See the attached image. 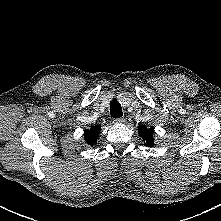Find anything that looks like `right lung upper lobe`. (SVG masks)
Masks as SVG:
<instances>
[{
    "instance_id": "obj_1",
    "label": "right lung upper lobe",
    "mask_w": 221,
    "mask_h": 221,
    "mask_svg": "<svg viewBox=\"0 0 221 221\" xmlns=\"http://www.w3.org/2000/svg\"><path fill=\"white\" fill-rule=\"evenodd\" d=\"M100 130H101L100 126H93L91 129L85 130L84 132L85 141L91 146L96 144L100 134Z\"/></svg>"
}]
</instances>
